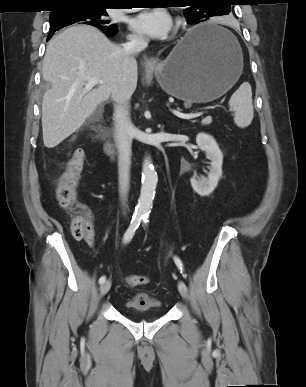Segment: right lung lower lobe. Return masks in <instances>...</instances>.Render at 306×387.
Returning <instances> with one entry per match:
<instances>
[{
    "label": "right lung lower lobe",
    "mask_w": 306,
    "mask_h": 387,
    "mask_svg": "<svg viewBox=\"0 0 306 387\" xmlns=\"http://www.w3.org/2000/svg\"><path fill=\"white\" fill-rule=\"evenodd\" d=\"M106 35L108 36H113L117 33V28L115 29H109V30H102ZM53 32H51L48 36V40L52 37V34Z\"/></svg>",
    "instance_id": "right-lung-lower-lobe-1"
}]
</instances>
